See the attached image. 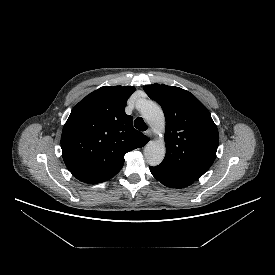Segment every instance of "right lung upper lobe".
Masks as SVG:
<instances>
[{"instance_id": "1", "label": "right lung upper lobe", "mask_w": 275, "mask_h": 275, "mask_svg": "<svg viewBox=\"0 0 275 275\" xmlns=\"http://www.w3.org/2000/svg\"><path fill=\"white\" fill-rule=\"evenodd\" d=\"M134 91L132 86H104L72 109L61 148L67 168L78 180L97 184L114 177L123 167L125 153L149 141L125 113Z\"/></svg>"}]
</instances>
